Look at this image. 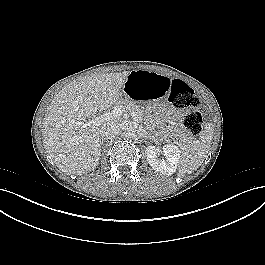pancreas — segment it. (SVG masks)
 <instances>
[{"instance_id": "cf45deb5", "label": "pancreas", "mask_w": 265, "mask_h": 265, "mask_svg": "<svg viewBox=\"0 0 265 265\" xmlns=\"http://www.w3.org/2000/svg\"><path fill=\"white\" fill-rule=\"evenodd\" d=\"M114 106L134 111L140 121L144 117V110L128 97L119 99Z\"/></svg>"}]
</instances>
